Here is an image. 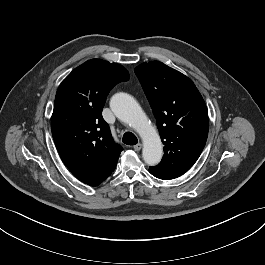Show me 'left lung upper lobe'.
<instances>
[{"mask_svg":"<svg viewBox=\"0 0 265 265\" xmlns=\"http://www.w3.org/2000/svg\"><path fill=\"white\" fill-rule=\"evenodd\" d=\"M135 73L151 105L164 144L162 161L150 169L164 180L184 174L199 158L208 136V113L194 83L158 61Z\"/></svg>","mask_w":265,"mask_h":265,"instance_id":"obj_1","label":"left lung upper lobe"}]
</instances>
